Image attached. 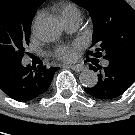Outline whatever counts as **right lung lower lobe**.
Listing matches in <instances>:
<instances>
[{
    "instance_id": "obj_1",
    "label": "right lung lower lobe",
    "mask_w": 135,
    "mask_h": 135,
    "mask_svg": "<svg viewBox=\"0 0 135 135\" xmlns=\"http://www.w3.org/2000/svg\"><path fill=\"white\" fill-rule=\"evenodd\" d=\"M22 60L0 56V89L10 98L26 102L47 92L56 67L23 66Z\"/></svg>"
}]
</instances>
